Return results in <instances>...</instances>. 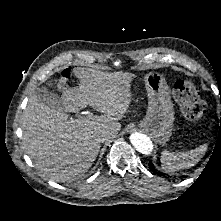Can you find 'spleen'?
Masks as SVG:
<instances>
[{"label":"spleen","instance_id":"spleen-1","mask_svg":"<svg viewBox=\"0 0 221 221\" xmlns=\"http://www.w3.org/2000/svg\"><path fill=\"white\" fill-rule=\"evenodd\" d=\"M207 144L187 152H169L164 150L161 154L162 169L166 173H173L181 169L194 166L207 151Z\"/></svg>","mask_w":221,"mask_h":221}]
</instances>
